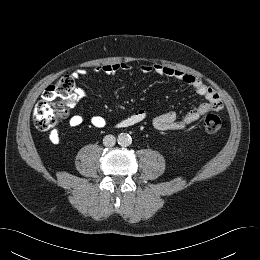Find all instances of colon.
I'll list each match as a JSON object with an SVG mask.
<instances>
[{"label": "colon", "mask_w": 260, "mask_h": 260, "mask_svg": "<svg viewBox=\"0 0 260 260\" xmlns=\"http://www.w3.org/2000/svg\"><path fill=\"white\" fill-rule=\"evenodd\" d=\"M78 99L75 81L70 75L62 76L49 85L36 104L33 121L41 131H53L66 114V108ZM204 130L216 134L221 128V119L217 114L209 113L202 120Z\"/></svg>", "instance_id": "1"}]
</instances>
